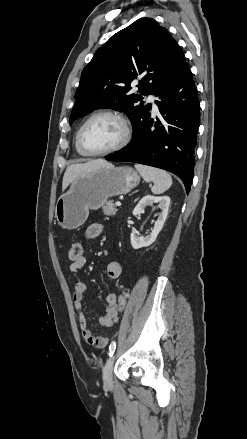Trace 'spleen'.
Masks as SVG:
<instances>
[{"instance_id":"3e777b00","label":"spleen","mask_w":247,"mask_h":439,"mask_svg":"<svg viewBox=\"0 0 247 439\" xmlns=\"http://www.w3.org/2000/svg\"><path fill=\"white\" fill-rule=\"evenodd\" d=\"M135 168L145 181L154 183L151 188V191L154 194H162L172 185V177L162 169L141 164H135Z\"/></svg>"}]
</instances>
